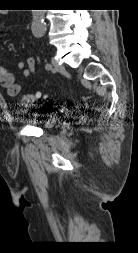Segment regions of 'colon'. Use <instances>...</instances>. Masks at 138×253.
<instances>
[{
	"label": "colon",
	"instance_id": "5ec220e1",
	"mask_svg": "<svg viewBox=\"0 0 138 253\" xmlns=\"http://www.w3.org/2000/svg\"><path fill=\"white\" fill-rule=\"evenodd\" d=\"M41 93H35V94H25L21 98V102L24 106H32L35 105L38 101H40L42 98H44Z\"/></svg>",
	"mask_w": 138,
	"mask_h": 253
}]
</instances>
